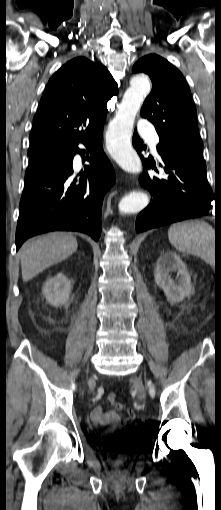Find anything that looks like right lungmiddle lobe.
Masks as SVG:
<instances>
[{
  "label": "right lung middle lobe",
  "instance_id": "dd1d6c3e",
  "mask_svg": "<svg viewBox=\"0 0 221 510\" xmlns=\"http://www.w3.org/2000/svg\"><path fill=\"white\" fill-rule=\"evenodd\" d=\"M65 149H42L33 152H28L30 158L29 165H34L40 162L52 160L61 157Z\"/></svg>",
  "mask_w": 221,
  "mask_h": 510
}]
</instances>
